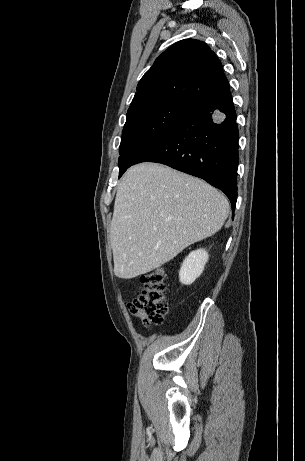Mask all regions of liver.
Returning <instances> with one entry per match:
<instances>
[{
	"mask_svg": "<svg viewBox=\"0 0 305 461\" xmlns=\"http://www.w3.org/2000/svg\"><path fill=\"white\" fill-rule=\"evenodd\" d=\"M228 213L227 198L198 178L156 163L131 167L114 203V274L131 279L159 268L218 232Z\"/></svg>",
	"mask_w": 305,
	"mask_h": 461,
	"instance_id": "obj_1",
	"label": "liver"
}]
</instances>
